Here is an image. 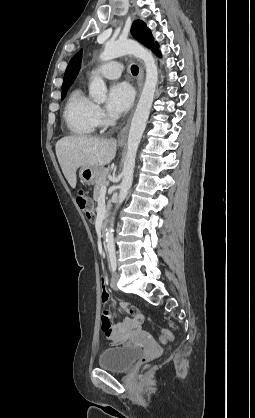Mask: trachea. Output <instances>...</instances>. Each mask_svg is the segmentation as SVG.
Listing matches in <instances>:
<instances>
[{
  "label": "trachea",
  "instance_id": "1",
  "mask_svg": "<svg viewBox=\"0 0 255 418\" xmlns=\"http://www.w3.org/2000/svg\"><path fill=\"white\" fill-rule=\"evenodd\" d=\"M131 72H132L133 75H137L138 72H139L138 66L132 65L131 66Z\"/></svg>",
  "mask_w": 255,
  "mask_h": 418
}]
</instances>
